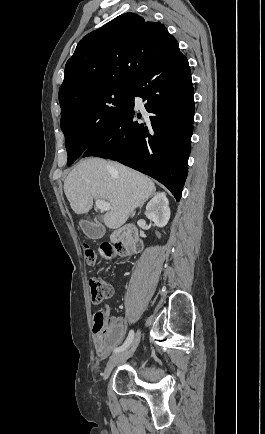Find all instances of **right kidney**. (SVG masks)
Segmentation results:
<instances>
[{"label": "right kidney", "mask_w": 265, "mask_h": 434, "mask_svg": "<svg viewBox=\"0 0 265 434\" xmlns=\"http://www.w3.org/2000/svg\"><path fill=\"white\" fill-rule=\"evenodd\" d=\"M145 216L148 220L154 222L158 228L167 226L170 218V208L165 192H157L154 198L148 202Z\"/></svg>", "instance_id": "1"}]
</instances>
